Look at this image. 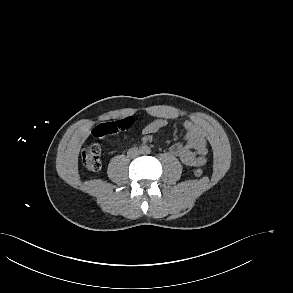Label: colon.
<instances>
[{
    "instance_id": "1",
    "label": "colon",
    "mask_w": 293,
    "mask_h": 293,
    "mask_svg": "<svg viewBox=\"0 0 293 293\" xmlns=\"http://www.w3.org/2000/svg\"><path fill=\"white\" fill-rule=\"evenodd\" d=\"M132 127L133 120L131 118H126L117 122H108L98 125L93 130V135L95 138L100 139L127 131ZM82 162L89 171L96 172L100 169V148L96 142L91 141L84 146L82 151ZM193 174L196 177H200L203 174V170L201 168H195Z\"/></svg>"
}]
</instances>
